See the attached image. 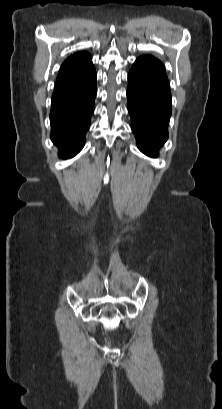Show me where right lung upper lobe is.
<instances>
[{"mask_svg":"<svg viewBox=\"0 0 222 409\" xmlns=\"http://www.w3.org/2000/svg\"><path fill=\"white\" fill-rule=\"evenodd\" d=\"M94 68L91 55L87 52H77L68 57L62 64L57 76L56 87L53 94L72 91L77 88L78 83L72 81H64L61 78L72 73L84 74Z\"/></svg>","mask_w":222,"mask_h":409,"instance_id":"1","label":"right lung upper lobe"}]
</instances>
